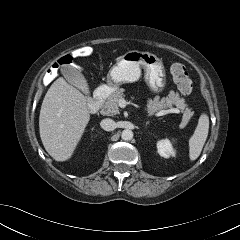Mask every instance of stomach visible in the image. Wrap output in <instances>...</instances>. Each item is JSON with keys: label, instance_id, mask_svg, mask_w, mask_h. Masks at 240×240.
<instances>
[{"label": "stomach", "instance_id": "stomach-1", "mask_svg": "<svg viewBox=\"0 0 240 240\" xmlns=\"http://www.w3.org/2000/svg\"><path fill=\"white\" fill-rule=\"evenodd\" d=\"M144 70L145 81L154 93L161 92L166 85V71L161 59L149 52L132 50L125 53L122 58L110 69L107 84L117 89L124 83H132L141 77Z\"/></svg>", "mask_w": 240, "mask_h": 240}]
</instances>
